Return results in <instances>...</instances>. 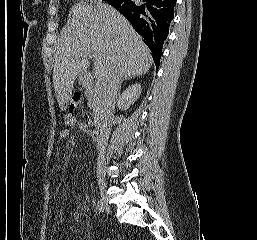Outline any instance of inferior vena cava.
Masks as SVG:
<instances>
[{
	"mask_svg": "<svg viewBox=\"0 0 257 240\" xmlns=\"http://www.w3.org/2000/svg\"><path fill=\"white\" fill-rule=\"evenodd\" d=\"M122 79L117 70L105 82L103 87V107L101 111V131L104 138H107L110 132L111 119L115 108V102ZM103 153V152H102ZM104 167V156H98L97 170L102 171Z\"/></svg>",
	"mask_w": 257,
	"mask_h": 240,
	"instance_id": "602c4592",
	"label": "inferior vena cava"
}]
</instances>
